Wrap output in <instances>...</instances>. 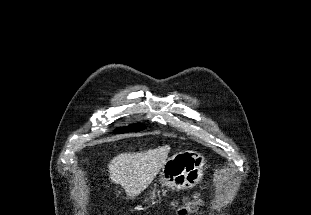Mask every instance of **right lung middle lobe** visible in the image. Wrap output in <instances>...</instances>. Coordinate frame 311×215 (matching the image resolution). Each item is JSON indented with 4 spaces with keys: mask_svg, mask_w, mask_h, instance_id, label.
<instances>
[{
    "mask_svg": "<svg viewBox=\"0 0 311 215\" xmlns=\"http://www.w3.org/2000/svg\"><path fill=\"white\" fill-rule=\"evenodd\" d=\"M144 129H145V126L134 124V125H130L127 128L116 129L115 132L116 133L137 132V131H141V130H144Z\"/></svg>",
    "mask_w": 311,
    "mask_h": 215,
    "instance_id": "1",
    "label": "right lung middle lobe"
}]
</instances>
